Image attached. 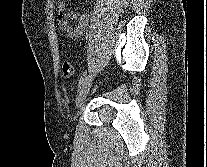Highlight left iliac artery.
<instances>
[{"mask_svg":"<svg viewBox=\"0 0 207 167\" xmlns=\"http://www.w3.org/2000/svg\"><path fill=\"white\" fill-rule=\"evenodd\" d=\"M86 76H87V72L84 71L83 74L81 75L80 79H79L78 88H80V86L84 82Z\"/></svg>","mask_w":207,"mask_h":167,"instance_id":"left-iliac-artery-1","label":"left iliac artery"}]
</instances>
